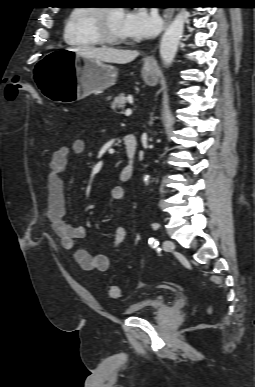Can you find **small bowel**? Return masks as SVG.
I'll list each match as a JSON object with an SVG mask.
<instances>
[{"label":"small bowel","instance_id":"c3829d8e","mask_svg":"<svg viewBox=\"0 0 255 387\" xmlns=\"http://www.w3.org/2000/svg\"><path fill=\"white\" fill-rule=\"evenodd\" d=\"M86 145L82 139L75 140L71 148L62 146L56 149L49 160L47 172V217L62 249L72 254L78 265L85 271L103 272L109 268L110 259L106 254L92 255L77 246V240L85 236V228L73 225L65 219L66 200L62 175L65 173L70 154H82ZM115 200L124 199V190L116 186L111 190ZM126 239V229L118 226L115 230L112 247L118 249Z\"/></svg>","mask_w":255,"mask_h":387}]
</instances>
